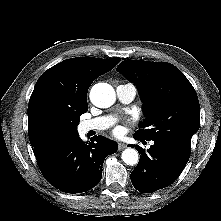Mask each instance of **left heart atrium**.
Masks as SVG:
<instances>
[{
    "label": "left heart atrium",
    "instance_id": "39dd6f15",
    "mask_svg": "<svg viewBox=\"0 0 221 221\" xmlns=\"http://www.w3.org/2000/svg\"><path fill=\"white\" fill-rule=\"evenodd\" d=\"M116 133H119V130H116Z\"/></svg>",
    "mask_w": 221,
    "mask_h": 221
}]
</instances>
